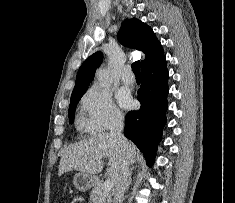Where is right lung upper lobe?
Segmentation results:
<instances>
[{
    "instance_id": "right-lung-upper-lobe-1",
    "label": "right lung upper lobe",
    "mask_w": 235,
    "mask_h": 203,
    "mask_svg": "<svg viewBox=\"0 0 235 203\" xmlns=\"http://www.w3.org/2000/svg\"><path fill=\"white\" fill-rule=\"evenodd\" d=\"M117 37L123 45L135 48L145 54V59L141 61V69L164 55L162 45L156 38L153 30L136 18L126 19ZM102 60V52L97 51L83 62L78 70L72 94L87 89V86L94 78L96 68Z\"/></svg>"
}]
</instances>
